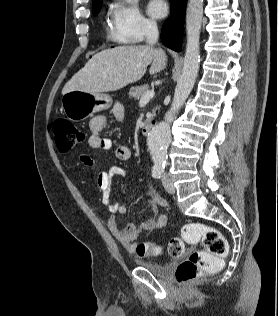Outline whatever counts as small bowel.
<instances>
[{"label":"small bowel","instance_id":"small-bowel-1","mask_svg":"<svg viewBox=\"0 0 278 316\" xmlns=\"http://www.w3.org/2000/svg\"><path fill=\"white\" fill-rule=\"evenodd\" d=\"M112 113L115 119L122 122L125 115L124 106L120 102L113 105ZM108 127V120L103 115H97L90 120V135L88 145L94 150H109L112 148L110 139L104 137L102 132ZM115 157L120 161H127L131 158V150L125 145H119L115 149ZM81 162L92 168L100 169L101 163L89 153H81ZM126 175V170L118 165L111 166L108 170H99L97 174V185L102 193V203L110 213L106 226L120 245L130 253L137 252L138 238L143 232L161 230L167 223L168 205L155 191H148V204L152 208L154 215L141 222H129L123 227L117 224L116 214H124L127 207L111 198V183L116 176Z\"/></svg>","mask_w":278,"mask_h":316}]
</instances>
